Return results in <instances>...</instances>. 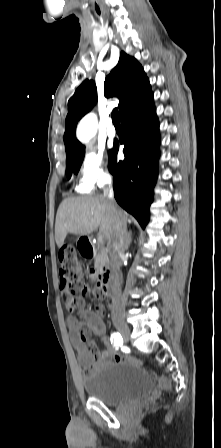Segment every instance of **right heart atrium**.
Returning a JSON list of instances; mask_svg holds the SVG:
<instances>
[{
    "instance_id": "obj_1",
    "label": "right heart atrium",
    "mask_w": 221,
    "mask_h": 448,
    "mask_svg": "<svg viewBox=\"0 0 221 448\" xmlns=\"http://www.w3.org/2000/svg\"><path fill=\"white\" fill-rule=\"evenodd\" d=\"M111 171L105 155L100 151L90 150L81 162L78 188L89 192L111 181Z\"/></svg>"
}]
</instances>
